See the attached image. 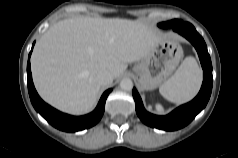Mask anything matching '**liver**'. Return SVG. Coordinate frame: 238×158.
<instances>
[{
    "label": "liver",
    "mask_w": 238,
    "mask_h": 158,
    "mask_svg": "<svg viewBox=\"0 0 238 158\" xmlns=\"http://www.w3.org/2000/svg\"><path fill=\"white\" fill-rule=\"evenodd\" d=\"M163 35L140 21L70 18L52 25L37 42L31 68L40 96L57 109L81 115L95 107L100 70L119 77L141 60Z\"/></svg>",
    "instance_id": "obj_1"
}]
</instances>
